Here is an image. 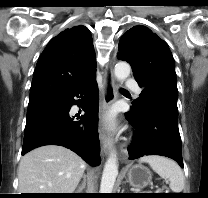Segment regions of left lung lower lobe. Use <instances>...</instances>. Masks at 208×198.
<instances>
[{"label": "left lung lower lobe", "mask_w": 208, "mask_h": 198, "mask_svg": "<svg viewBox=\"0 0 208 198\" xmlns=\"http://www.w3.org/2000/svg\"><path fill=\"white\" fill-rule=\"evenodd\" d=\"M134 128V137L128 147L129 159L144 155H161L175 160L184 167L178 115L160 103L144 105L140 111L126 113Z\"/></svg>", "instance_id": "0a47b994"}]
</instances>
